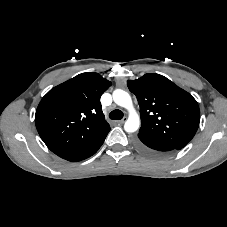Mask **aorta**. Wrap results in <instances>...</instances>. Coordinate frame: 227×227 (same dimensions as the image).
I'll return each mask as SVG.
<instances>
[{
	"mask_svg": "<svg viewBox=\"0 0 227 227\" xmlns=\"http://www.w3.org/2000/svg\"><path fill=\"white\" fill-rule=\"evenodd\" d=\"M113 100L117 105L124 107L129 111V117L124 124L125 131L132 133L138 130L140 126V119L133 107L130 95L124 90L116 89L113 92Z\"/></svg>",
	"mask_w": 227,
	"mask_h": 227,
	"instance_id": "aorta-1",
	"label": "aorta"
}]
</instances>
